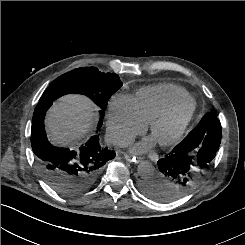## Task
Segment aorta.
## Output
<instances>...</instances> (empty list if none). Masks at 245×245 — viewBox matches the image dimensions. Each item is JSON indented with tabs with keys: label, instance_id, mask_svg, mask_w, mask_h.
<instances>
[{
	"label": "aorta",
	"instance_id": "762f6f07",
	"mask_svg": "<svg viewBox=\"0 0 245 245\" xmlns=\"http://www.w3.org/2000/svg\"><path fill=\"white\" fill-rule=\"evenodd\" d=\"M138 174L143 179H150L154 175V166L148 162L143 161L137 167Z\"/></svg>",
	"mask_w": 245,
	"mask_h": 245
}]
</instances>
